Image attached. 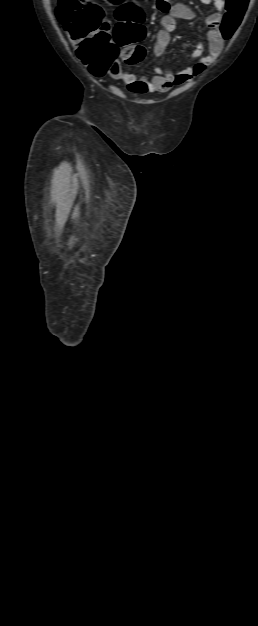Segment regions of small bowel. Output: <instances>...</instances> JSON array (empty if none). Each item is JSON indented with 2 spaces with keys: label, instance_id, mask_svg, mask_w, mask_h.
Instances as JSON below:
<instances>
[{
  "label": "small bowel",
  "instance_id": "obj_1",
  "mask_svg": "<svg viewBox=\"0 0 258 626\" xmlns=\"http://www.w3.org/2000/svg\"><path fill=\"white\" fill-rule=\"evenodd\" d=\"M205 4H213L216 12L206 19L208 31V50L203 52V47L198 44L192 53L195 64L177 72L156 69L157 75L151 79L138 78L131 72L124 71L118 61L112 63L108 74L116 80L124 83L126 88L136 94L166 93L175 86H180L199 75L204 69L212 64L220 55L224 45V38L220 31V25L225 10V0H200ZM154 7L165 15L161 19L162 28L156 34L154 54L161 57L167 49L171 33L176 28V19L193 20L194 12L187 5L171 4L170 0H155Z\"/></svg>",
  "mask_w": 258,
  "mask_h": 626
}]
</instances>
